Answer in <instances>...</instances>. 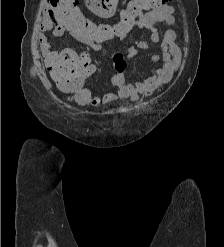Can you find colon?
<instances>
[{
  "mask_svg": "<svg viewBox=\"0 0 224 247\" xmlns=\"http://www.w3.org/2000/svg\"><path fill=\"white\" fill-rule=\"evenodd\" d=\"M173 0H129L121 11L120 19L113 24L95 23L81 12L78 0H53L63 22L83 38L99 41L122 39L127 36L135 20L145 12L169 5ZM114 67L123 72L126 66L122 55L112 57ZM53 80L64 90L73 91L82 104L92 103L93 96L84 83L93 74V67L85 57H53L47 63Z\"/></svg>",
  "mask_w": 224,
  "mask_h": 247,
  "instance_id": "obj_1",
  "label": "colon"
}]
</instances>
